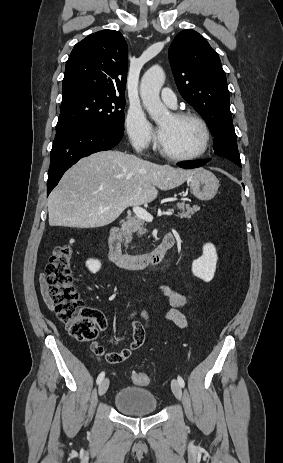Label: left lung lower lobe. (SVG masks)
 I'll return each instance as SVG.
<instances>
[{"label": "left lung lower lobe", "instance_id": "1", "mask_svg": "<svg viewBox=\"0 0 283 463\" xmlns=\"http://www.w3.org/2000/svg\"><path fill=\"white\" fill-rule=\"evenodd\" d=\"M208 161L209 160H198V161H194V162H181V163H179V167L187 168V169L197 168V167H201V166L205 165Z\"/></svg>", "mask_w": 283, "mask_h": 463}]
</instances>
